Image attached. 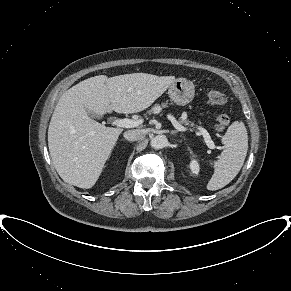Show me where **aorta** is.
Listing matches in <instances>:
<instances>
[{
    "mask_svg": "<svg viewBox=\"0 0 291 291\" xmlns=\"http://www.w3.org/2000/svg\"><path fill=\"white\" fill-rule=\"evenodd\" d=\"M167 137L165 135H156L150 140V145L154 149H162L167 145Z\"/></svg>",
    "mask_w": 291,
    "mask_h": 291,
    "instance_id": "obj_1",
    "label": "aorta"
}]
</instances>
